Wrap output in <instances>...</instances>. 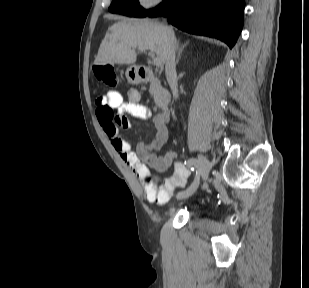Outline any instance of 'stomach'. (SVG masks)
<instances>
[{"mask_svg": "<svg viewBox=\"0 0 309 288\" xmlns=\"http://www.w3.org/2000/svg\"><path fill=\"white\" fill-rule=\"evenodd\" d=\"M127 80L132 84H137L141 82V77L139 75L138 67L132 65L127 68L125 72Z\"/></svg>", "mask_w": 309, "mask_h": 288, "instance_id": "0dacf381", "label": "stomach"}]
</instances>
